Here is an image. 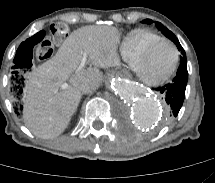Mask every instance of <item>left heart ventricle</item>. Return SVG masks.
<instances>
[{"mask_svg":"<svg viewBox=\"0 0 215 183\" xmlns=\"http://www.w3.org/2000/svg\"><path fill=\"white\" fill-rule=\"evenodd\" d=\"M174 62V50L168 43L158 44L141 63V70L148 79L155 80L164 76Z\"/></svg>","mask_w":215,"mask_h":183,"instance_id":"obj_1","label":"left heart ventricle"}]
</instances>
